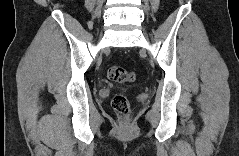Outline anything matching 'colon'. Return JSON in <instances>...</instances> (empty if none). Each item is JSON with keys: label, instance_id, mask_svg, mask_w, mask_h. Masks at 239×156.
Segmentation results:
<instances>
[{"label": "colon", "instance_id": "5ec220e1", "mask_svg": "<svg viewBox=\"0 0 239 156\" xmlns=\"http://www.w3.org/2000/svg\"><path fill=\"white\" fill-rule=\"evenodd\" d=\"M107 76L110 80L123 83L132 82L135 79V73L129 71L121 66H112L108 69ZM112 107L114 111L122 116H127L129 112V102L127 98L121 94H118L112 99Z\"/></svg>", "mask_w": 239, "mask_h": 156}]
</instances>
